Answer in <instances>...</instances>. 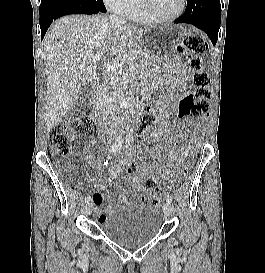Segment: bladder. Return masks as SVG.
<instances>
[{
	"mask_svg": "<svg viewBox=\"0 0 265 273\" xmlns=\"http://www.w3.org/2000/svg\"><path fill=\"white\" fill-rule=\"evenodd\" d=\"M162 224L163 215L156 206L136 203L104 217L99 226L111 241L126 248H137L153 240Z\"/></svg>",
	"mask_w": 265,
	"mask_h": 273,
	"instance_id": "1",
	"label": "bladder"
}]
</instances>
